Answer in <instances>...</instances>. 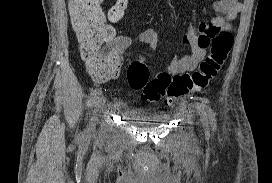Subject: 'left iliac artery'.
<instances>
[{"mask_svg":"<svg viewBox=\"0 0 272 183\" xmlns=\"http://www.w3.org/2000/svg\"><path fill=\"white\" fill-rule=\"evenodd\" d=\"M208 114H209V119L212 123L213 126H216V119H215V113L214 111L212 110V108L209 107L208 109Z\"/></svg>","mask_w":272,"mask_h":183,"instance_id":"obj_1","label":"left iliac artery"}]
</instances>
